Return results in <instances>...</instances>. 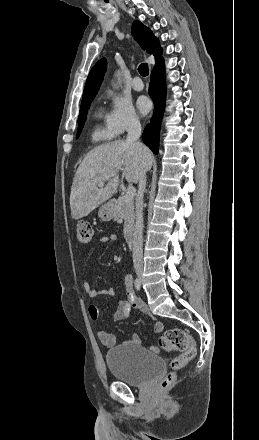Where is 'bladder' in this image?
Returning <instances> with one entry per match:
<instances>
[{
	"label": "bladder",
	"instance_id": "1",
	"mask_svg": "<svg viewBox=\"0 0 259 440\" xmlns=\"http://www.w3.org/2000/svg\"><path fill=\"white\" fill-rule=\"evenodd\" d=\"M105 359L113 377L132 386L145 385L165 368L159 355L134 345L117 346L107 352Z\"/></svg>",
	"mask_w": 259,
	"mask_h": 440
}]
</instances>
